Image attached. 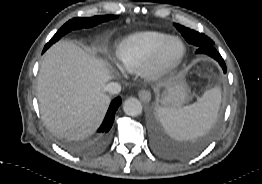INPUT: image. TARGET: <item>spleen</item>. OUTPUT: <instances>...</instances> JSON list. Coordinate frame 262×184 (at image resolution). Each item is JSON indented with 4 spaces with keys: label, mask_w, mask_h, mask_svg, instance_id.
Wrapping results in <instances>:
<instances>
[{
    "label": "spleen",
    "mask_w": 262,
    "mask_h": 184,
    "mask_svg": "<svg viewBox=\"0 0 262 184\" xmlns=\"http://www.w3.org/2000/svg\"><path fill=\"white\" fill-rule=\"evenodd\" d=\"M221 89L204 92L195 103L182 108H158L157 114L167 132L178 140L193 139L208 131L217 119Z\"/></svg>",
    "instance_id": "obj_1"
}]
</instances>
